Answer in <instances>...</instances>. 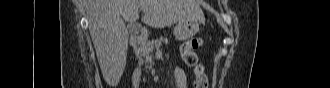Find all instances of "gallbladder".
<instances>
[{"instance_id": "obj_1", "label": "gallbladder", "mask_w": 330, "mask_h": 88, "mask_svg": "<svg viewBox=\"0 0 330 88\" xmlns=\"http://www.w3.org/2000/svg\"><path fill=\"white\" fill-rule=\"evenodd\" d=\"M131 30H132V28L131 27H129V31L131 32Z\"/></svg>"}]
</instances>
